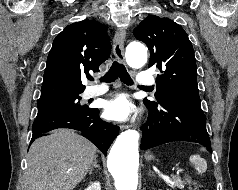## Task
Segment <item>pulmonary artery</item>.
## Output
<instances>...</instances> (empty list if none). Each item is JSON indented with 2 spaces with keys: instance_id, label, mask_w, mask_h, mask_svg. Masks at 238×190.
<instances>
[{
  "instance_id": "pulmonary-artery-1",
  "label": "pulmonary artery",
  "mask_w": 238,
  "mask_h": 190,
  "mask_svg": "<svg viewBox=\"0 0 238 190\" xmlns=\"http://www.w3.org/2000/svg\"><path fill=\"white\" fill-rule=\"evenodd\" d=\"M137 82L141 86L148 87V86H152L155 83V80H154V77L148 72H142L139 74ZM107 91H108V87L105 85L91 86L85 90L84 96L85 98H92V97L103 95Z\"/></svg>"
}]
</instances>
